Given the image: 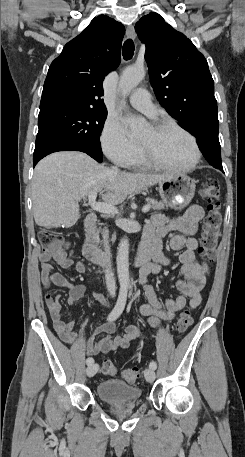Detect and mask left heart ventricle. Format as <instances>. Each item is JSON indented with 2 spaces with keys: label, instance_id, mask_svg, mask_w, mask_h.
<instances>
[{
  "label": "left heart ventricle",
  "instance_id": "b2bd125f",
  "mask_svg": "<svg viewBox=\"0 0 245 457\" xmlns=\"http://www.w3.org/2000/svg\"><path fill=\"white\" fill-rule=\"evenodd\" d=\"M136 142L147 155L167 166L184 167L193 160L190 140L176 129L158 133L150 127L136 139Z\"/></svg>",
  "mask_w": 245,
  "mask_h": 457
}]
</instances>
